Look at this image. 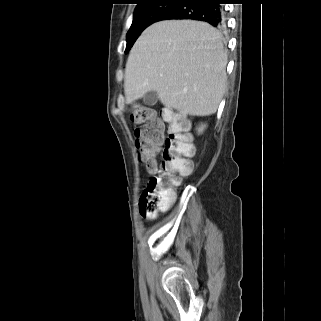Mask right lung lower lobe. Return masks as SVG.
Here are the masks:
<instances>
[{"mask_svg": "<svg viewBox=\"0 0 321 321\" xmlns=\"http://www.w3.org/2000/svg\"><path fill=\"white\" fill-rule=\"evenodd\" d=\"M224 0H182L158 18V21L169 19H192L209 23L221 28L224 26V9L220 4Z\"/></svg>", "mask_w": 321, "mask_h": 321, "instance_id": "right-lung-lower-lobe-1", "label": "right lung lower lobe"}]
</instances>
